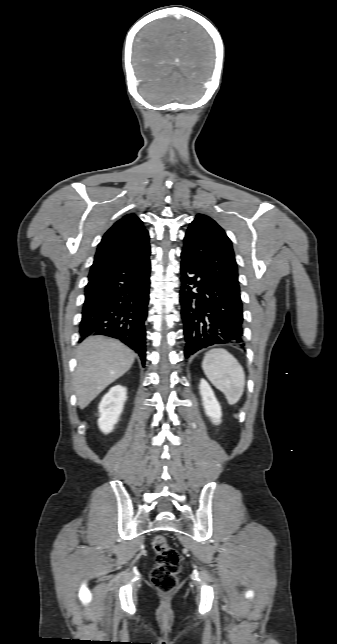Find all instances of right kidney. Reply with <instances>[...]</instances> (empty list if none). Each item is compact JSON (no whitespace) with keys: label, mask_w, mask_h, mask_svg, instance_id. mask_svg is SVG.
<instances>
[{"label":"right kidney","mask_w":337,"mask_h":644,"mask_svg":"<svg viewBox=\"0 0 337 644\" xmlns=\"http://www.w3.org/2000/svg\"><path fill=\"white\" fill-rule=\"evenodd\" d=\"M126 388L120 385L112 387L99 404L100 418L98 425L102 432L109 433L118 422L126 401Z\"/></svg>","instance_id":"ca27d5eb"}]
</instances>
